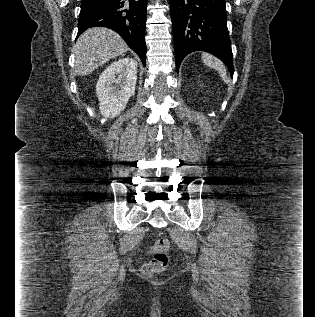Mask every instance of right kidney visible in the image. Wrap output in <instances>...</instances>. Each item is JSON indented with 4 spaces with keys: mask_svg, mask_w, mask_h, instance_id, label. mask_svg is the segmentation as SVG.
Here are the masks:
<instances>
[{
    "mask_svg": "<svg viewBox=\"0 0 315 317\" xmlns=\"http://www.w3.org/2000/svg\"><path fill=\"white\" fill-rule=\"evenodd\" d=\"M136 81L137 62L132 58L119 59L102 72L96 94L104 118H114L125 109L129 98L135 94Z\"/></svg>",
    "mask_w": 315,
    "mask_h": 317,
    "instance_id": "ca27d5eb",
    "label": "right kidney"
}]
</instances>
